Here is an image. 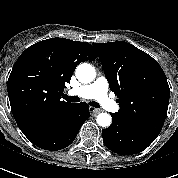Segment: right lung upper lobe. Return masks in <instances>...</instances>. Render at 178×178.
I'll return each instance as SVG.
<instances>
[{
    "label": "right lung upper lobe",
    "instance_id": "right-lung-upper-lobe-1",
    "mask_svg": "<svg viewBox=\"0 0 178 178\" xmlns=\"http://www.w3.org/2000/svg\"><path fill=\"white\" fill-rule=\"evenodd\" d=\"M97 55L87 42L51 38L27 48L7 83L11 110L22 132L67 115L75 104L61 100L78 64Z\"/></svg>",
    "mask_w": 178,
    "mask_h": 178
}]
</instances>
